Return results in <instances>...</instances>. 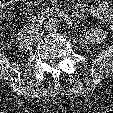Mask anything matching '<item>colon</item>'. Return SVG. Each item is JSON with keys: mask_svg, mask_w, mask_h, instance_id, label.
Returning a JSON list of instances; mask_svg holds the SVG:
<instances>
[{"mask_svg": "<svg viewBox=\"0 0 113 113\" xmlns=\"http://www.w3.org/2000/svg\"><path fill=\"white\" fill-rule=\"evenodd\" d=\"M29 1H32V0H29ZM1 9V8H0ZM1 14V13H0ZM0 20H2V15L0 16Z\"/></svg>", "mask_w": 113, "mask_h": 113, "instance_id": "colon-1", "label": "colon"}]
</instances>
